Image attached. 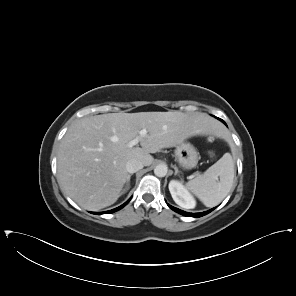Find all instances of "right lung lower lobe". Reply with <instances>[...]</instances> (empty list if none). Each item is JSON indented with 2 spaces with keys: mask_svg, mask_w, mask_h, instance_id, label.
Instances as JSON below:
<instances>
[{
  "mask_svg": "<svg viewBox=\"0 0 296 296\" xmlns=\"http://www.w3.org/2000/svg\"><path fill=\"white\" fill-rule=\"evenodd\" d=\"M131 199V198H130ZM130 199L127 201V202H125L123 205H121V206H119V207H117V208H115V209H112V210H109V211H106V212H94L95 214H107V213H112V212H115V211H118V210H120L121 208H123L129 201H130Z\"/></svg>",
  "mask_w": 296,
  "mask_h": 296,
  "instance_id": "right-lung-lower-lobe-1",
  "label": "right lung lower lobe"
}]
</instances>
